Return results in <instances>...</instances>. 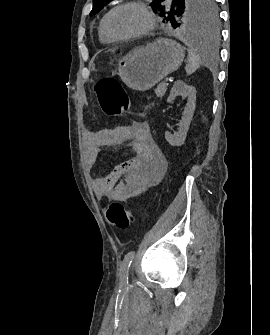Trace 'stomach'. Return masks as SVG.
I'll return each instance as SVG.
<instances>
[{"mask_svg":"<svg viewBox=\"0 0 270 335\" xmlns=\"http://www.w3.org/2000/svg\"><path fill=\"white\" fill-rule=\"evenodd\" d=\"M183 60V46L176 40L158 38L153 44L127 52L118 62V76L131 90L145 92L178 70Z\"/></svg>","mask_w":270,"mask_h":335,"instance_id":"obj_1","label":"stomach"}]
</instances>
